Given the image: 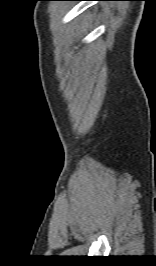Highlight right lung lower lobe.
<instances>
[{
    "label": "right lung lower lobe",
    "instance_id": "1",
    "mask_svg": "<svg viewBox=\"0 0 156 266\" xmlns=\"http://www.w3.org/2000/svg\"><path fill=\"white\" fill-rule=\"evenodd\" d=\"M70 1V0H69ZM71 1H81V0H71Z\"/></svg>",
    "mask_w": 156,
    "mask_h": 266
}]
</instances>
